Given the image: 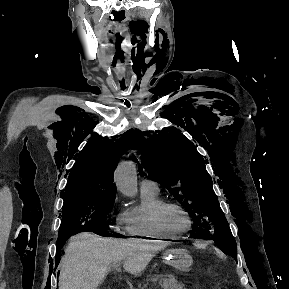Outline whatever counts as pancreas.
<instances>
[{"mask_svg":"<svg viewBox=\"0 0 289 289\" xmlns=\"http://www.w3.org/2000/svg\"><path fill=\"white\" fill-rule=\"evenodd\" d=\"M159 284L163 289H185L182 283H178L174 276H161Z\"/></svg>","mask_w":289,"mask_h":289,"instance_id":"obj_1","label":"pancreas"}]
</instances>
